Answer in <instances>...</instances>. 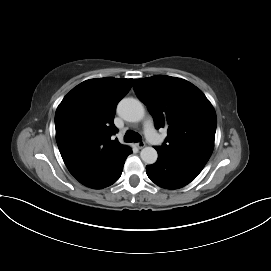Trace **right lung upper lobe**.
<instances>
[{
	"mask_svg": "<svg viewBox=\"0 0 271 271\" xmlns=\"http://www.w3.org/2000/svg\"><path fill=\"white\" fill-rule=\"evenodd\" d=\"M132 79L97 78L82 82L62 100L55 114L56 141L65 165L83 185L104 175L127 151L117 133V103Z\"/></svg>",
	"mask_w": 271,
	"mask_h": 271,
	"instance_id": "cb5924a9",
	"label": "right lung upper lobe"
}]
</instances>
